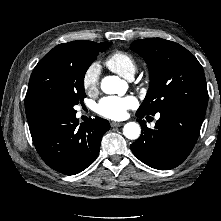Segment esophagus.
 Listing matches in <instances>:
<instances>
[{
	"mask_svg": "<svg viewBox=\"0 0 221 221\" xmlns=\"http://www.w3.org/2000/svg\"><path fill=\"white\" fill-rule=\"evenodd\" d=\"M123 124H124L123 122H111V127H120Z\"/></svg>",
	"mask_w": 221,
	"mask_h": 221,
	"instance_id": "1",
	"label": "esophagus"
}]
</instances>
